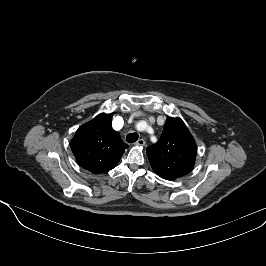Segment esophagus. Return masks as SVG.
Masks as SVG:
<instances>
[{"label":"esophagus","mask_w":266,"mask_h":266,"mask_svg":"<svg viewBox=\"0 0 266 266\" xmlns=\"http://www.w3.org/2000/svg\"><path fill=\"white\" fill-rule=\"evenodd\" d=\"M135 144L137 146H144L145 145V140L144 139H139V140H137V142Z\"/></svg>","instance_id":"esophagus-1"}]
</instances>
